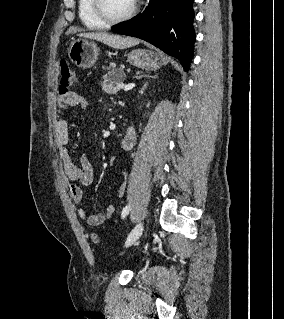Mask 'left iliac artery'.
I'll list each match as a JSON object with an SVG mask.
<instances>
[{"label":"left iliac artery","mask_w":284,"mask_h":319,"mask_svg":"<svg viewBox=\"0 0 284 319\" xmlns=\"http://www.w3.org/2000/svg\"><path fill=\"white\" fill-rule=\"evenodd\" d=\"M129 211H130V206L124 207L123 210H122L121 217H122V218H125L126 215L129 213Z\"/></svg>","instance_id":"1"}]
</instances>
